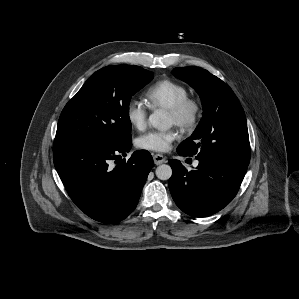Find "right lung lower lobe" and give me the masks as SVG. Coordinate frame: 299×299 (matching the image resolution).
Masks as SVG:
<instances>
[{"mask_svg":"<svg viewBox=\"0 0 299 299\" xmlns=\"http://www.w3.org/2000/svg\"><path fill=\"white\" fill-rule=\"evenodd\" d=\"M131 147V139L107 146L54 141V165L69 196L94 220L117 223L137 206L153 159L148 151L138 150L121 160L120 154Z\"/></svg>","mask_w":299,"mask_h":299,"instance_id":"right-lung-lower-lobe-1","label":"right lung lower lobe"}]
</instances>
